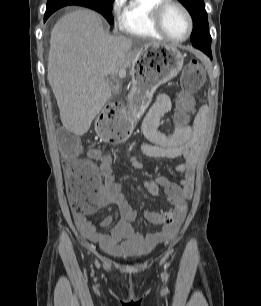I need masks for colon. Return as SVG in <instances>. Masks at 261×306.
<instances>
[{
	"instance_id": "5ec220e1",
	"label": "colon",
	"mask_w": 261,
	"mask_h": 306,
	"mask_svg": "<svg viewBox=\"0 0 261 306\" xmlns=\"http://www.w3.org/2000/svg\"><path fill=\"white\" fill-rule=\"evenodd\" d=\"M204 78L205 71L201 63L197 60H190L180 78V85L184 94L189 95L195 92L201 86ZM113 110L120 111L121 106L116 104L108 107L106 111ZM101 131L111 141L115 142L125 141L130 136L129 126L122 121L104 124L101 126ZM79 145V141L72 135L63 134L60 138V149L67 158L76 156L79 151ZM66 184L72 208L76 212L91 210L98 184L95 168L89 163L72 167L67 175ZM179 210L181 211L182 208H179ZM163 220L166 225H170L174 221L169 213L164 214Z\"/></svg>"
}]
</instances>
